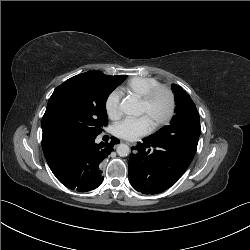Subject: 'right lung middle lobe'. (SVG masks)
Here are the masks:
<instances>
[{"label": "right lung middle lobe", "instance_id": "right-lung-middle-lobe-1", "mask_svg": "<svg viewBox=\"0 0 250 250\" xmlns=\"http://www.w3.org/2000/svg\"><path fill=\"white\" fill-rule=\"evenodd\" d=\"M125 78L89 71L65 81L48 101L42 118L43 133L100 134L108 124L106 100Z\"/></svg>", "mask_w": 250, "mask_h": 250}]
</instances>
